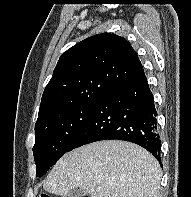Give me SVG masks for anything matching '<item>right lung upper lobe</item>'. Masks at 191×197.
Segmentation results:
<instances>
[{"label": "right lung upper lobe", "mask_w": 191, "mask_h": 197, "mask_svg": "<svg viewBox=\"0 0 191 197\" xmlns=\"http://www.w3.org/2000/svg\"><path fill=\"white\" fill-rule=\"evenodd\" d=\"M143 71L130 43L111 33L89 37L60 57L46 86L37 122L66 108L98 101L103 93Z\"/></svg>", "instance_id": "right-lung-upper-lobe-1"}]
</instances>
